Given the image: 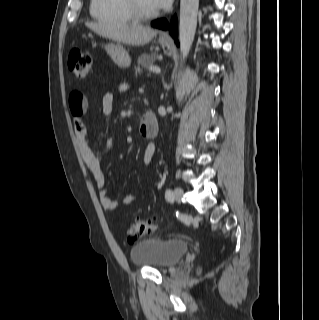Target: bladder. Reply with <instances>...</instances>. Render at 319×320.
<instances>
[{"mask_svg": "<svg viewBox=\"0 0 319 320\" xmlns=\"http://www.w3.org/2000/svg\"><path fill=\"white\" fill-rule=\"evenodd\" d=\"M188 251L181 240L147 237L133 245L130 258L134 265L164 269L177 264Z\"/></svg>", "mask_w": 319, "mask_h": 320, "instance_id": "obj_1", "label": "bladder"}]
</instances>
